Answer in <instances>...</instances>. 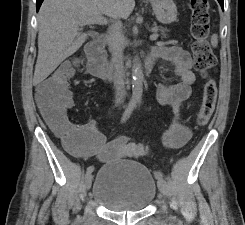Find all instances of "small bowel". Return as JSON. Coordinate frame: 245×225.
Returning a JSON list of instances; mask_svg holds the SVG:
<instances>
[{
	"mask_svg": "<svg viewBox=\"0 0 245 225\" xmlns=\"http://www.w3.org/2000/svg\"><path fill=\"white\" fill-rule=\"evenodd\" d=\"M150 52H153L156 58L170 62L174 74L179 78L177 84L160 85L156 95L159 104L169 105L174 111V119L166 131L164 144L170 149H179L188 142L191 136L190 127L181 121V108L189 98L192 84L196 80L192 71V58L188 51L176 46L160 45L152 48ZM70 67L69 61H63L58 69L68 70ZM36 97L44 115H51L61 126H70L76 129V133L73 135V147L70 148L75 157L82 159L94 157L101 163H108L119 159H137L147 154V147L142 142L133 141L125 136L107 139L104 133L97 128L95 121H66L60 112L55 113L44 106L39 86ZM73 106V93L70 90L69 97L64 102L61 111L67 112Z\"/></svg>",
	"mask_w": 245,
	"mask_h": 225,
	"instance_id": "small-bowel-1",
	"label": "small bowel"
}]
</instances>
